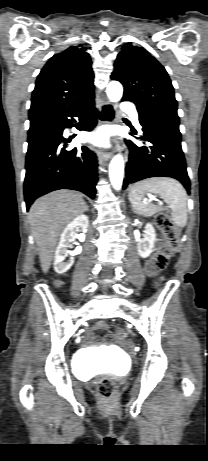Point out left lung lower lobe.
I'll use <instances>...</instances> for the list:
<instances>
[{
  "mask_svg": "<svg viewBox=\"0 0 208 461\" xmlns=\"http://www.w3.org/2000/svg\"><path fill=\"white\" fill-rule=\"evenodd\" d=\"M139 121L143 127L139 139L144 146L127 141L130 158L123 189L145 178L172 177L179 180L189 193L190 180L181 148L178 115L167 111L139 113Z\"/></svg>",
  "mask_w": 208,
  "mask_h": 461,
  "instance_id": "obj_1",
  "label": "left lung lower lobe"
}]
</instances>
